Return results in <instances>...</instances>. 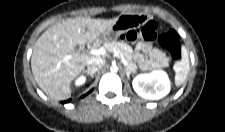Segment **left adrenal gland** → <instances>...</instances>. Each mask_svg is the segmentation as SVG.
Wrapping results in <instances>:
<instances>
[{
	"label": "left adrenal gland",
	"instance_id": "left-adrenal-gland-1",
	"mask_svg": "<svg viewBox=\"0 0 225 132\" xmlns=\"http://www.w3.org/2000/svg\"><path fill=\"white\" fill-rule=\"evenodd\" d=\"M125 70H126V74H127L128 79H130V74L131 73H135V72L129 70L128 68H125Z\"/></svg>",
	"mask_w": 225,
	"mask_h": 132
}]
</instances>
